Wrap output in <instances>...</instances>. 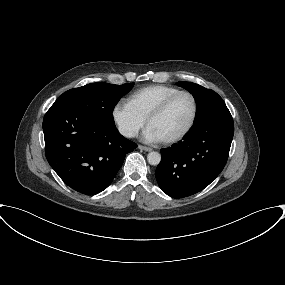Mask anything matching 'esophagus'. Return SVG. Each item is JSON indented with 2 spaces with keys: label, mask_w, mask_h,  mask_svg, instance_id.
<instances>
[{
  "label": "esophagus",
  "mask_w": 285,
  "mask_h": 285,
  "mask_svg": "<svg viewBox=\"0 0 285 285\" xmlns=\"http://www.w3.org/2000/svg\"><path fill=\"white\" fill-rule=\"evenodd\" d=\"M138 148H139L140 150H143V151H146V152L152 151L151 148L146 147V146H143V145H138Z\"/></svg>",
  "instance_id": "34e87169"
}]
</instances>
